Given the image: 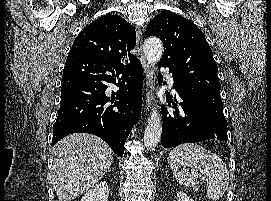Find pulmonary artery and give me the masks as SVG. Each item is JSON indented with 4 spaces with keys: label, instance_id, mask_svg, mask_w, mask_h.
<instances>
[{
    "label": "pulmonary artery",
    "instance_id": "pulmonary-artery-1",
    "mask_svg": "<svg viewBox=\"0 0 271 201\" xmlns=\"http://www.w3.org/2000/svg\"><path fill=\"white\" fill-rule=\"evenodd\" d=\"M161 72L168 77L169 84L174 87V81L172 76L166 72V70H161Z\"/></svg>",
    "mask_w": 271,
    "mask_h": 201
}]
</instances>
